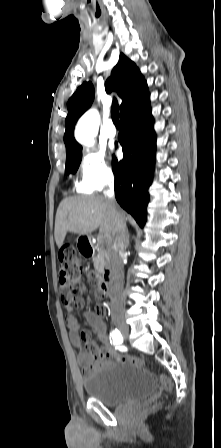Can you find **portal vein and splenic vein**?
<instances>
[{
  "mask_svg": "<svg viewBox=\"0 0 221 448\" xmlns=\"http://www.w3.org/2000/svg\"><path fill=\"white\" fill-rule=\"evenodd\" d=\"M102 239H103V237H102V236H99V237H98V241H100V242H101V241H102Z\"/></svg>",
  "mask_w": 221,
  "mask_h": 448,
  "instance_id": "1",
  "label": "portal vein and splenic vein"
}]
</instances>
